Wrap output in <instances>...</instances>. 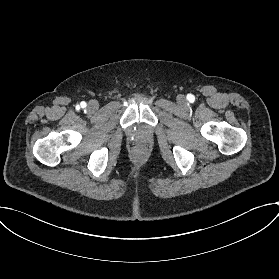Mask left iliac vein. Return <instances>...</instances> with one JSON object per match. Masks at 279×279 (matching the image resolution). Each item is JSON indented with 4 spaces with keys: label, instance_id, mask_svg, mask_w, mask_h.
<instances>
[{
    "label": "left iliac vein",
    "instance_id": "left-iliac-vein-1",
    "mask_svg": "<svg viewBox=\"0 0 279 279\" xmlns=\"http://www.w3.org/2000/svg\"><path fill=\"white\" fill-rule=\"evenodd\" d=\"M176 100H177V103H178L179 105H185V104H186V98H185V96L182 95V94H179V95L177 96Z\"/></svg>",
    "mask_w": 279,
    "mask_h": 279
}]
</instances>
